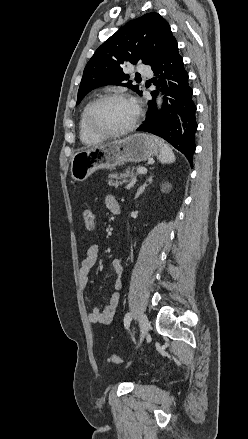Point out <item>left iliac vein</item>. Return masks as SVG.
Here are the masks:
<instances>
[{"instance_id": "1", "label": "left iliac vein", "mask_w": 248, "mask_h": 439, "mask_svg": "<svg viewBox=\"0 0 248 439\" xmlns=\"http://www.w3.org/2000/svg\"><path fill=\"white\" fill-rule=\"evenodd\" d=\"M139 327H140V342H141L145 337L149 328V320L144 313L141 314L139 317Z\"/></svg>"}]
</instances>
